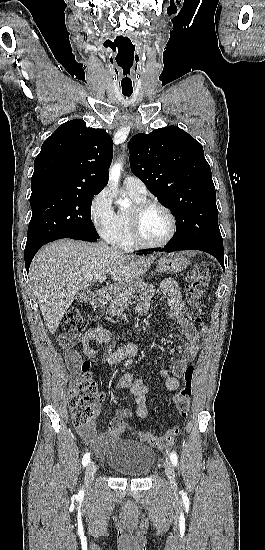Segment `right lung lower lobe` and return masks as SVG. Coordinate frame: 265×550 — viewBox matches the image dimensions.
Segmentation results:
<instances>
[{
	"mask_svg": "<svg viewBox=\"0 0 265 550\" xmlns=\"http://www.w3.org/2000/svg\"><path fill=\"white\" fill-rule=\"evenodd\" d=\"M61 238H71V239L84 240V241H91V242H94V241H96V240L99 239V238H95V237H89V236H85V235L69 233V234L60 235V236L54 238L53 240H57V239H61ZM53 240H52V241H53ZM44 245H45V244H44ZM42 246H43V245L37 247L36 249H34V250L30 251V252H25L24 257H25V267H26V271H27V272L29 271V267H30V264H31V261H32L34 255L37 253V251H38Z\"/></svg>",
	"mask_w": 265,
	"mask_h": 550,
	"instance_id": "obj_1",
	"label": "right lung lower lobe"
}]
</instances>
